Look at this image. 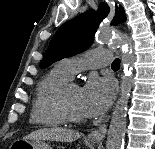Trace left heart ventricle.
Masks as SVG:
<instances>
[{"instance_id": "obj_1", "label": "left heart ventricle", "mask_w": 155, "mask_h": 149, "mask_svg": "<svg viewBox=\"0 0 155 149\" xmlns=\"http://www.w3.org/2000/svg\"><path fill=\"white\" fill-rule=\"evenodd\" d=\"M67 100L72 110L80 116H85L81 108V89L73 85L67 92Z\"/></svg>"}]
</instances>
